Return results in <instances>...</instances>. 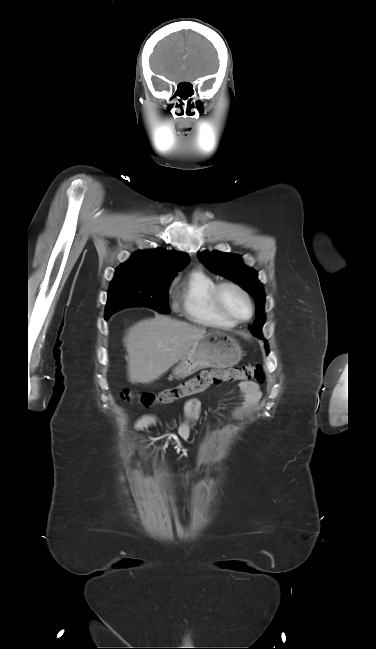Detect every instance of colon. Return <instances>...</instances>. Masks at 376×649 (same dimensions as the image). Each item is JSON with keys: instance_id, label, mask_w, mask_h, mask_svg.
<instances>
[{"instance_id": "obj_1", "label": "colon", "mask_w": 376, "mask_h": 649, "mask_svg": "<svg viewBox=\"0 0 376 649\" xmlns=\"http://www.w3.org/2000/svg\"><path fill=\"white\" fill-rule=\"evenodd\" d=\"M256 381L263 383L265 374L261 365H242L227 369H206L191 379L176 386L168 387L159 392H145L135 394L130 390L122 392L125 401H132L138 397L146 406L154 404H169L176 400L186 398L205 391L206 389L228 381Z\"/></svg>"}]
</instances>
